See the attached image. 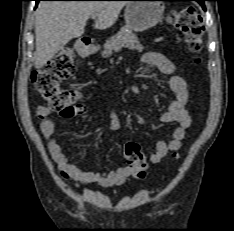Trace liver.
<instances>
[{"mask_svg":"<svg viewBox=\"0 0 234 231\" xmlns=\"http://www.w3.org/2000/svg\"><path fill=\"white\" fill-rule=\"evenodd\" d=\"M124 1H42L35 14V68H42L73 38L81 37L89 17L96 13L94 28L114 25Z\"/></svg>","mask_w":234,"mask_h":231,"instance_id":"1","label":"liver"}]
</instances>
